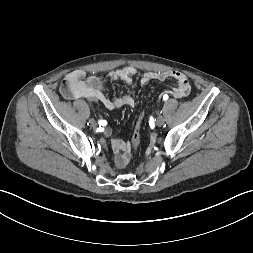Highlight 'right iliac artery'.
Listing matches in <instances>:
<instances>
[{"label": "right iliac artery", "mask_w": 253, "mask_h": 253, "mask_svg": "<svg viewBox=\"0 0 253 253\" xmlns=\"http://www.w3.org/2000/svg\"><path fill=\"white\" fill-rule=\"evenodd\" d=\"M99 124L105 125V124H106V121L100 120V121H99Z\"/></svg>", "instance_id": "82829eb1"}]
</instances>
